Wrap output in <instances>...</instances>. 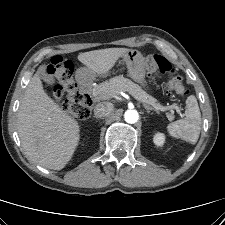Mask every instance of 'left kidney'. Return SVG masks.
Segmentation results:
<instances>
[{
	"label": "left kidney",
	"mask_w": 225,
	"mask_h": 225,
	"mask_svg": "<svg viewBox=\"0 0 225 225\" xmlns=\"http://www.w3.org/2000/svg\"><path fill=\"white\" fill-rule=\"evenodd\" d=\"M154 143L157 145V146H162L164 144V141H165V137H164V134L162 133H157L155 136H154Z\"/></svg>",
	"instance_id": "1"
}]
</instances>
